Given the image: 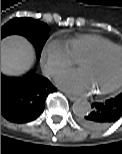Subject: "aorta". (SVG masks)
Masks as SVG:
<instances>
[{"instance_id": "obj_1", "label": "aorta", "mask_w": 122, "mask_h": 154, "mask_svg": "<svg viewBox=\"0 0 122 154\" xmlns=\"http://www.w3.org/2000/svg\"><path fill=\"white\" fill-rule=\"evenodd\" d=\"M72 109L75 115L82 117L90 113L91 104L85 99H78L73 103Z\"/></svg>"}]
</instances>
